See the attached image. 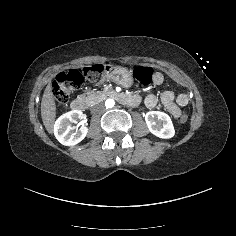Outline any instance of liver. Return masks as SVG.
<instances>
[{
    "label": "liver",
    "instance_id": "6515ba94",
    "mask_svg": "<svg viewBox=\"0 0 236 236\" xmlns=\"http://www.w3.org/2000/svg\"><path fill=\"white\" fill-rule=\"evenodd\" d=\"M41 116L43 124L48 131L52 134L54 132V122L56 117V106L53 98L52 87L49 83L44 91L41 101Z\"/></svg>",
    "mask_w": 236,
    "mask_h": 236
}]
</instances>
